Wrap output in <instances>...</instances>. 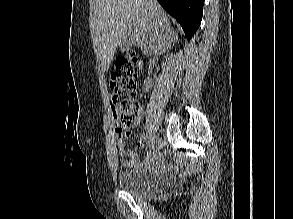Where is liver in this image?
Listing matches in <instances>:
<instances>
[{"instance_id":"obj_1","label":"liver","mask_w":293,"mask_h":219,"mask_svg":"<svg viewBox=\"0 0 293 219\" xmlns=\"http://www.w3.org/2000/svg\"><path fill=\"white\" fill-rule=\"evenodd\" d=\"M132 34L146 56L162 54L178 41V33L156 0H96L93 48L104 71L121 39Z\"/></svg>"}]
</instances>
